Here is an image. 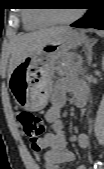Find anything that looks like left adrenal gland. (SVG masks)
<instances>
[{
	"label": "left adrenal gland",
	"mask_w": 104,
	"mask_h": 169,
	"mask_svg": "<svg viewBox=\"0 0 104 169\" xmlns=\"http://www.w3.org/2000/svg\"><path fill=\"white\" fill-rule=\"evenodd\" d=\"M96 42H97V40H93V41H91V43H87L85 45L88 65H91V62H92V47L94 46V44Z\"/></svg>",
	"instance_id": "left-adrenal-gland-1"
}]
</instances>
